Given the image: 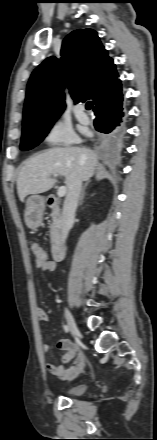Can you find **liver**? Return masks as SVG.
<instances>
[{
	"label": "liver",
	"instance_id": "obj_1",
	"mask_svg": "<svg viewBox=\"0 0 157 440\" xmlns=\"http://www.w3.org/2000/svg\"><path fill=\"white\" fill-rule=\"evenodd\" d=\"M98 164L96 151L86 147H57L29 158L20 167L17 192L21 202L28 195L50 190L56 183L51 175H63L67 188L76 177L90 181Z\"/></svg>",
	"mask_w": 157,
	"mask_h": 440
}]
</instances>
